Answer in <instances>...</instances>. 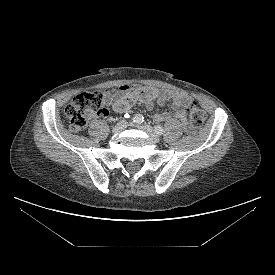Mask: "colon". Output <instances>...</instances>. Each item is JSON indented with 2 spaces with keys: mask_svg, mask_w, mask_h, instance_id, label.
Returning a JSON list of instances; mask_svg holds the SVG:
<instances>
[{
  "mask_svg": "<svg viewBox=\"0 0 275 275\" xmlns=\"http://www.w3.org/2000/svg\"><path fill=\"white\" fill-rule=\"evenodd\" d=\"M105 113L104 95L99 91L81 93L75 96L65 108L70 129L75 133L83 130L91 116ZM188 115L193 128L200 127L206 117L205 112L193 101L188 106Z\"/></svg>",
  "mask_w": 275,
  "mask_h": 275,
  "instance_id": "obj_1",
  "label": "colon"
}]
</instances>
